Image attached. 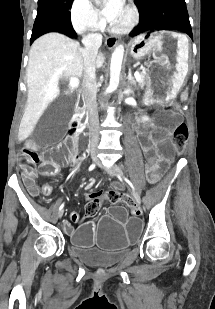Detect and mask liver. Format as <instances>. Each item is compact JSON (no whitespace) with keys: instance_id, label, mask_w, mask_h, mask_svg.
<instances>
[{"instance_id":"6515ba94","label":"liver","mask_w":215,"mask_h":309,"mask_svg":"<svg viewBox=\"0 0 215 309\" xmlns=\"http://www.w3.org/2000/svg\"><path fill=\"white\" fill-rule=\"evenodd\" d=\"M78 40L60 32H47L34 40L27 66L28 98L18 132V140L31 134L48 104L58 96L59 80L64 76L81 78L83 52ZM96 66L100 68L105 56L98 52Z\"/></svg>"}]
</instances>
